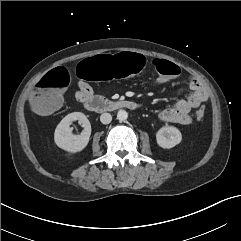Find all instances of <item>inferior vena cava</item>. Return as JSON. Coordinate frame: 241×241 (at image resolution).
Returning a JSON list of instances; mask_svg holds the SVG:
<instances>
[{
    "instance_id": "1",
    "label": "inferior vena cava",
    "mask_w": 241,
    "mask_h": 241,
    "mask_svg": "<svg viewBox=\"0 0 241 241\" xmlns=\"http://www.w3.org/2000/svg\"><path fill=\"white\" fill-rule=\"evenodd\" d=\"M100 121L103 124H109L112 121V116L110 113H103L100 116Z\"/></svg>"
}]
</instances>
